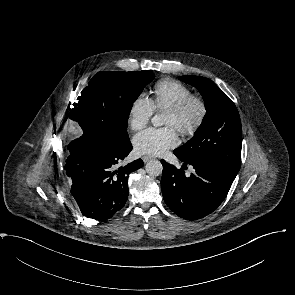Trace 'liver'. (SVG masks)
Instances as JSON below:
<instances>
[{"instance_id": "obj_1", "label": "liver", "mask_w": 295, "mask_h": 295, "mask_svg": "<svg viewBox=\"0 0 295 295\" xmlns=\"http://www.w3.org/2000/svg\"><path fill=\"white\" fill-rule=\"evenodd\" d=\"M69 130L75 134L79 133V130L73 124L69 125Z\"/></svg>"}]
</instances>
